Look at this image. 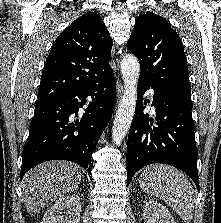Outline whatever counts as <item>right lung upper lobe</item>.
<instances>
[{"instance_id": "cb5924a9", "label": "right lung upper lobe", "mask_w": 221, "mask_h": 223, "mask_svg": "<svg viewBox=\"0 0 221 223\" xmlns=\"http://www.w3.org/2000/svg\"><path fill=\"white\" fill-rule=\"evenodd\" d=\"M112 39L97 13L76 19L55 40L42 72L36 106L71 94L110 69Z\"/></svg>"}]
</instances>
